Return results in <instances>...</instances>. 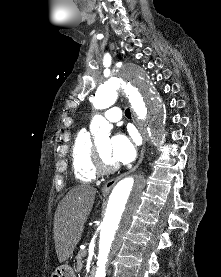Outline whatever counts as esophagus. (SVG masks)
Masks as SVG:
<instances>
[{
  "label": "esophagus",
  "instance_id": "34e87169",
  "mask_svg": "<svg viewBox=\"0 0 221 277\" xmlns=\"http://www.w3.org/2000/svg\"><path fill=\"white\" fill-rule=\"evenodd\" d=\"M135 123H136V125H137V127H138V129H139V131H140V133H141V135H142V137H143V146H142V149H141V153H140L139 160H138V162L136 163V165H135L129 172L124 173V174H122V175H120V176H117V177L114 178V179L109 180V181L105 184L104 188L102 189V195H103V196H107V195L110 193L111 189L115 186V184H116L121 178H123V177L126 176L127 174H129V173L135 171V170L138 168V166L141 164V162H142V160H143V158H144L145 146H146L147 138H146L145 133H144V131H143L142 125L139 123V121L136 120Z\"/></svg>",
  "mask_w": 221,
  "mask_h": 277
}]
</instances>
